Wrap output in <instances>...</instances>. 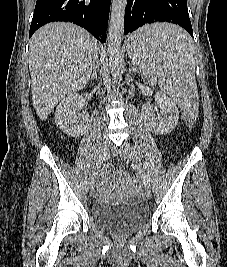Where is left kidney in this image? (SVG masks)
<instances>
[{
	"label": "left kidney",
	"mask_w": 227,
	"mask_h": 267,
	"mask_svg": "<svg viewBox=\"0 0 227 267\" xmlns=\"http://www.w3.org/2000/svg\"><path fill=\"white\" fill-rule=\"evenodd\" d=\"M155 99L160 113L156 116L151 108H147L144 115L146 126L154 134L165 135L177 126L179 111L173 99L166 96L165 93L157 92Z\"/></svg>",
	"instance_id": "left-kidney-1"
}]
</instances>
